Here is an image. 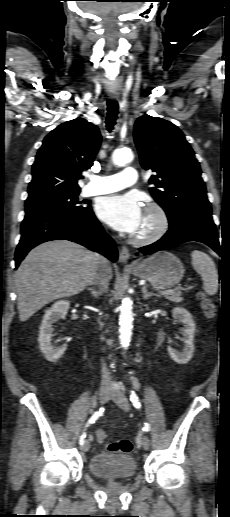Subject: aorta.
Masks as SVG:
<instances>
[{
  "instance_id": "1",
  "label": "aorta",
  "mask_w": 230,
  "mask_h": 517,
  "mask_svg": "<svg viewBox=\"0 0 230 517\" xmlns=\"http://www.w3.org/2000/svg\"><path fill=\"white\" fill-rule=\"evenodd\" d=\"M133 160V153L130 149H117L112 154V161L115 165L124 166ZM119 339L125 348L129 346L133 328L132 301L126 297L122 300L119 316Z\"/></svg>"
}]
</instances>
